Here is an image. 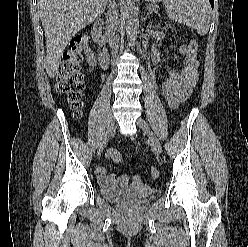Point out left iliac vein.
<instances>
[{
    "instance_id": "4c4485c4",
    "label": "left iliac vein",
    "mask_w": 248,
    "mask_h": 247,
    "mask_svg": "<svg viewBox=\"0 0 248 247\" xmlns=\"http://www.w3.org/2000/svg\"><path fill=\"white\" fill-rule=\"evenodd\" d=\"M137 126L142 131H144L145 134L147 135L154 152L160 155L162 153L161 143H160L159 139L157 138V136L154 134V132L149 127L148 123L143 118H138L137 119Z\"/></svg>"
}]
</instances>
